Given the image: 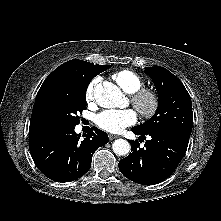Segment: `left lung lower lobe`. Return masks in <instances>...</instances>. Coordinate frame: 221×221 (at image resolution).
Listing matches in <instances>:
<instances>
[{
    "mask_svg": "<svg viewBox=\"0 0 221 221\" xmlns=\"http://www.w3.org/2000/svg\"><path fill=\"white\" fill-rule=\"evenodd\" d=\"M136 135L146 140L143 148L136 141H130L131 153L118 166L128 179L139 184H156L169 177L186 153L189 138L167 132L142 134L132 128Z\"/></svg>",
    "mask_w": 221,
    "mask_h": 221,
    "instance_id": "1",
    "label": "left lung lower lobe"
}]
</instances>
